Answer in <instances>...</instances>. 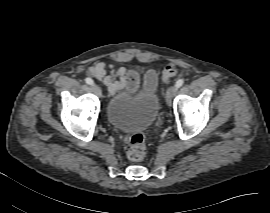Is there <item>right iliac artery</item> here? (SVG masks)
I'll list each match as a JSON object with an SVG mask.
<instances>
[{"label": "right iliac artery", "instance_id": "right-iliac-artery-1", "mask_svg": "<svg viewBox=\"0 0 270 213\" xmlns=\"http://www.w3.org/2000/svg\"><path fill=\"white\" fill-rule=\"evenodd\" d=\"M85 81L89 85H93L94 84V81L91 78H86Z\"/></svg>", "mask_w": 270, "mask_h": 213}]
</instances>
